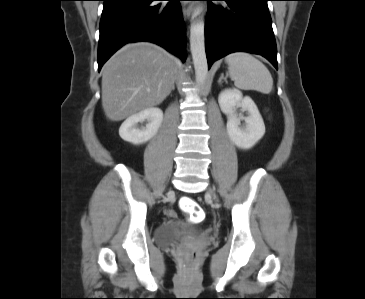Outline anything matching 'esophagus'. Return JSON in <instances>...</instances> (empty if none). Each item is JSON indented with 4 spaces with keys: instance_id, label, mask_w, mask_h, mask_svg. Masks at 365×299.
I'll return each mask as SVG.
<instances>
[{
    "instance_id": "esophagus-1",
    "label": "esophagus",
    "mask_w": 365,
    "mask_h": 299,
    "mask_svg": "<svg viewBox=\"0 0 365 299\" xmlns=\"http://www.w3.org/2000/svg\"><path fill=\"white\" fill-rule=\"evenodd\" d=\"M192 12H193V6L192 5H184L183 14L186 18H190Z\"/></svg>"
}]
</instances>
